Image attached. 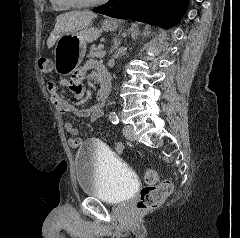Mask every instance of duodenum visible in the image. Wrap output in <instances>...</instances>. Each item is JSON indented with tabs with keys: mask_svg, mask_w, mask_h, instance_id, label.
Segmentation results:
<instances>
[{
	"mask_svg": "<svg viewBox=\"0 0 240 238\" xmlns=\"http://www.w3.org/2000/svg\"><path fill=\"white\" fill-rule=\"evenodd\" d=\"M100 89L98 91V100L105 101L111 89L110 77L105 72L100 73Z\"/></svg>",
	"mask_w": 240,
	"mask_h": 238,
	"instance_id": "duodenum-1",
	"label": "duodenum"
}]
</instances>
